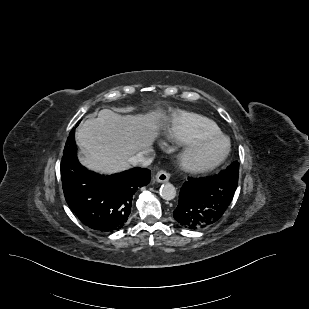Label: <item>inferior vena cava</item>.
Listing matches in <instances>:
<instances>
[{"label": "inferior vena cava", "instance_id": "602c4592", "mask_svg": "<svg viewBox=\"0 0 309 309\" xmlns=\"http://www.w3.org/2000/svg\"><path fill=\"white\" fill-rule=\"evenodd\" d=\"M153 158L148 157L146 152H139L128 159V163L133 166H148L151 164Z\"/></svg>", "mask_w": 309, "mask_h": 309}]
</instances>
